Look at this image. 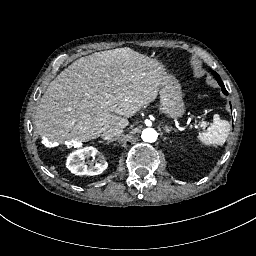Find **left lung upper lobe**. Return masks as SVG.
Instances as JSON below:
<instances>
[{"label": "left lung upper lobe", "mask_w": 256, "mask_h": 256, "mask_svg": "<svg viewBox=\"0 0 256 256\" xmlns=\"http://www.w3.org/2000/svg\"><path fill=\"white\" fill-rule=\"evenodd\" d=\"M212 73H213L214 77L217 79L219 85L222 87V92L227 95L228 93H227V91H226V89L224 87V84H223L220 76L215 71H213V70H212Z\"/></svg>", "instance_id": "left-lung-upper-lobe-1"}]
</instances>
